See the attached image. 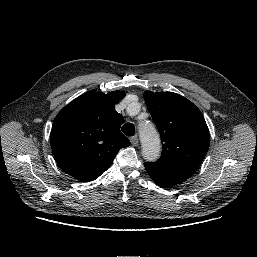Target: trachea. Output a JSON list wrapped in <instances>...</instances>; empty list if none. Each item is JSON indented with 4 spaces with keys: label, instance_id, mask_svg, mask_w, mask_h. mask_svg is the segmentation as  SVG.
<instances>
[{
    "label": "trachea",
    "instance_id": "trachea-1",
    "mask_svg": "<svg viewBox=\"0 0 257 257\" xmlns=\"http://www.w3.org/2000/svg\"><path fill=\"white\" fill-rule=\"evenodd\" d=\"M122 132L127 136H133L135 133V126L132 123H126L122 127Z\"/></svg>",
    "mask_w": 257,
    "mask_h": 257
}]
</instances>
